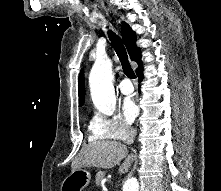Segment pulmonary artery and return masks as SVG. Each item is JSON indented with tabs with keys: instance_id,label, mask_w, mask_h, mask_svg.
Returning a JSON list of instances; mask_svg holds the SVG:
<instances>
[{
	"instance_id": "pulmonary-artery-1",
	"label": "pulmonary artery",
	"mask_w": 221,
	"mask_h": 191,
	"mask_svg": "<svg viewBox=\"0 0 221 191\" xmlns=\"http://www.w3.org/2000/svg\"><path fill=\"white\" fill-rule=\"evenodd\" d=\"M119 90L124 95H129L133 92L134 88L130 80L125 78L119 83Z\"/></svg>"
}]
</instances>
